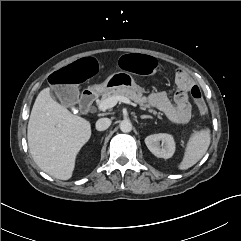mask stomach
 Instances as JSON below:
<instances>
[{
  "label": "stomach",
  "mask_w": 241,
  "mask_h": 241,
  "mask_svg": "<svg viewBox=\"0 0 241 241\" xmlns=\"http://www.w3.org/2000/svg\"><path fill=\"white\" fill-rule=\"evenodd\" d=\"M123 87L139 92L143 91V89L136 84L133 76L127 71H119L109 75L101 84L91 86V90L95 93H104Z\"/></svg>",
  "instance_id": "stomach-1"
}]
</instances>
